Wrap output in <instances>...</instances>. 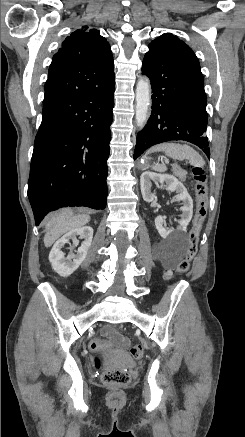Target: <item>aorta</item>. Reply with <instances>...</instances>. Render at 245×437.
I'll return each instance as SVG.
<instances>
[{"mask_svg":"<svg viewBox=\"0 0 245 437\" xmlns=\"http://www.w3.org/2000/svg\"><path fill=\"white\" fill-rule=\"evenodd\" d=\"M150 99V82L142 77L136 86V122L140 129L145 126L148 120Z\"/></svg>","mask_w":245,"mask_h":437,"instance_id":"1","label":"aorta"}]
</instances>
